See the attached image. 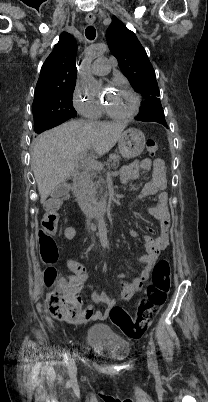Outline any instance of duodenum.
<instances>
[{
  "label": "duodenum",
  "mask_w": 208,
  "mask_h": 402,
  "mask_svg": "<svg viewBox=\"0 0 208 402\" xmlns=\"http://www.w3.org/2000/svg\"><path fill=\"white\" fill-rule=\"evenodd\" d=\"M71 184H72L73 194L75 195L80 206L86 212L99 215V214L103 213L104 210L110 204L109 198H105V199L98 201L86 193L84 186H83V184H84L83 174H81V173L74 174L71 179Z\"/></svg>",
  "instance_id": "obj_1"
}]
</instances>
